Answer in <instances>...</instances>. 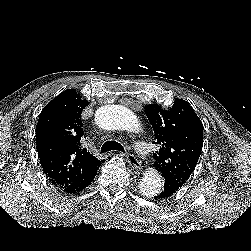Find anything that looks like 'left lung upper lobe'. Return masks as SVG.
<instances>
[{"instance_id":"obj_1","label":"left lung upper lobe","mask_w":251,"mask_h":251,"mask_svg":"<svg viewBox=\"0 0 251 251\" xmlns=\"http://www.w3.org/2000/svg\"><path fill=\"white\" fill-rule=\"evenodd\" d=\"M159 151L153 167L183 186L194 171L203 145V124L189 103L176 98L171 108L149 104L145 107Z\"/></svg>"}]
</instances>
